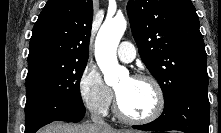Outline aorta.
I'll return each mask as SVG.
<instances>
[{
    "label": "aorta",
    "mask_w": 221,
    "mask_h": 133,
    "mask_svg": "<svg viewBox=\"0 0 221 133\" xmlns=\"http://www.w3.org/2000/svg\"><path fill=\"white\" fill-rule=\"evenodd\" d=\"M127 27L124 17L106 20L101 26L95 41V58L104 74L107 85L119 82L120 76L127 75V70L118 64L117 47Z\"/></svg>",
    "instance_id": "aorta-1"
}]
</instances>
